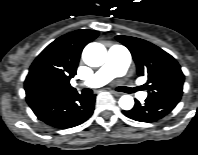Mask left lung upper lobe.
<instances>
[{"instance_id":"obj_1","label":"left lung upper lobe","mask_w":198,"mask_h":155,"mask_svg":"<svg viewBox=\"0 0 198 155\" xmlns=\"http://www.w3.org/2000/svg\"><path fill=\"white\" fill-rule=\"evenodd\" d=\"M131 52L139 76H147L148 99L179 102L183 93L184 75L177 61L154 44L130 36H116Z\"/></svg>"}]
</instances>
